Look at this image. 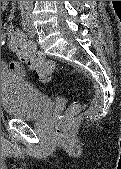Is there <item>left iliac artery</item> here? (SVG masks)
Masks as SVG:
<instances>
[{"label": "left iliac artery", "mask_w": 121, "mask_h": 169, "mask_svg": "<svg viewBox=\"0 0 121 169\" xmlns=\"http://www.w3.org/2000/svg\"><path fill=\"white\" fill-rule=\"evenodd\" d=\"M27 14H26V11L22 10V18H21V21H22V25L25 27L26 24H27Z\"/></svg>", "instance_id": "1"}]
</instances>
